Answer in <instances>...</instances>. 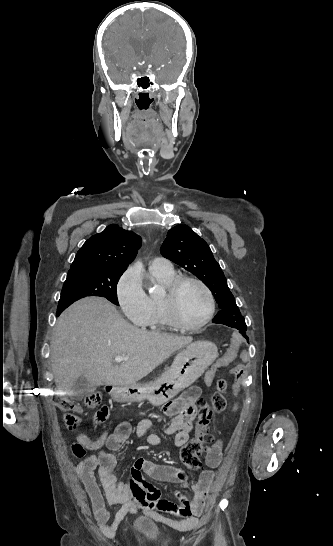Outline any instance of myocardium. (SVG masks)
Wrapping results in <instances>:
<instances>
[{
  "label": "myocardium",
  "mask_w": 333,
  "mask_h": 546,
  "mask_svg": "<svg viewBox=\"0 0 333 546\" xmlns=\"http://www.w3.org/2000/svg\"><path fill=\"white\" fill-rule=\"evenodd\" d=\"M195 283L205 292L208 298V310L204 318L196 324H188L182 320L177 311V296L185 283ZM164 314L169 323L182 331H197L205 327L213 318L216 310L215 296L210 287L201 279L193 276H179L167 288L161 298Z\"/></svg>",
  "instance_id": "1"
}]
</instances>
